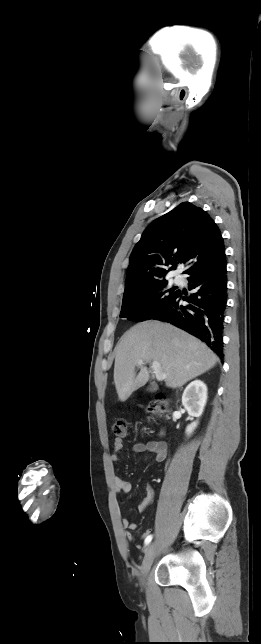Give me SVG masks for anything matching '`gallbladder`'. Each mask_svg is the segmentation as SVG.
Listing matches in <instances>:
<instances>
[{"instance_id": "1", "label": "gallbladder", "mask_w": 261, "mask_h": 644, "mask_svg": "<svg viewBox=\"0 0 261 644\" xmlns=\"http://www.w3.org/2000/svg\"><path fill=\"white\" fill-rule=\"evenodd\" d=\"M148 390H149L150 392H153V391H155V390H156V387H155V386H150V387L148 388Z\"/></svg>"}]
</instances>
